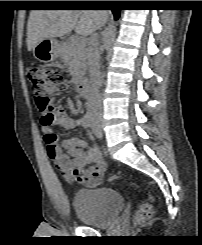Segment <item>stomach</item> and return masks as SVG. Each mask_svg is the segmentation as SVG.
<instances>
[{
    "mask_svg": "<svg viewBox=\"0 0 202 245\" xmlns=\"http://www.w3.org/2000/svg\"><path fill=\"white\" fill-rule=\"evenodd\" d=\"M32 51L37 60L49 63L59 57L61 53V45L59 41L54 38H46L41 40Z\"/></svg>",
    "mask_w": 202,
    "mask_h": 245,
    "instance_id": "1",
    "label": "stomach"
}]
</instances>
